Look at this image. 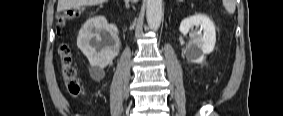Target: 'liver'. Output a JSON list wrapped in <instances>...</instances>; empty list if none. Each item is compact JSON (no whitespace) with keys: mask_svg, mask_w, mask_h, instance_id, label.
I'll return each instance as SVG.
<instances>
[{"mask_svg":"<svg viewBox=\"0 0 283 116\" xmlns=\"http://www.w3.org/2000/svg\"><path fill=\"white\" fill-rule=\"evenodd\" d=\"M105 0H58L57 12H62L71 8H77L83 5H94Z\"/></svg>","mask_w":283,"mask_h":116,"instance_id":"6515ba94","label":"liver"}]
</instances>
